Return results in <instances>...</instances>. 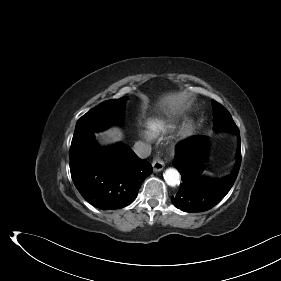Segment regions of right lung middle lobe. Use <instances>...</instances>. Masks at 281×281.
<instances>
[{
    "label": "right lung middle lobe",
    "mask_w": 281,
    "mask_h": 281,
    "mask_svg": "<svg viewBox=\"0 0 281 281\" xmlns=\"http://www.w3.org/2000/svg\"><path fill=\"white\" fill-rule=\"evenodd\" d=\"M127 97L105 101L83 115L76 124L73 137L91 131H101L122 122Z\"/></svg>",
    "instance_id": "obj_1"
}]
</instances>
